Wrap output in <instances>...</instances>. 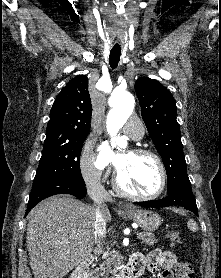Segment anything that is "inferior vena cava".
I'll use <instances>...</instances> for the list:
<instances>
[{
  "mask_svg": "<svg viewBox=\"0 0 221 278\" xmlns=\"http://www.w3.org/2000/svg\"><path fill=\"white\" fill-rule=\"evenodd\" d=\"M86 187L88 195L96 205L94 234L95 243H100V240L106 235V221L103 215V209L106 207V205L104 202H111L112 197L101 184L100 175L95 171H92L87 177Z\"/></svg>",
  "mask_w": 221,
  "mask_h": 278,
  "instance_id": "inferior-vena-cava-1",
  "label": "inferior vena cava"
}]
</instances>
